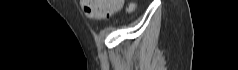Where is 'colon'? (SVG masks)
I'll list each match as a JSON object with an SVG mask.
<instances>
[{"mask_svg":"<svg viewBox=\"0 0 238 70\" xmlns=\"http://www.w3.org/2000/svg\"><path fill=\"white\" fill-rule=\"evenodd\" d=\"M123 3L124 0H81L85 14L93 19L108 18L114 12H121Z\"/></svg>","mask_w":238,"mask_h":70,"instance_id":"1","label":"colon"}]
</instances>
